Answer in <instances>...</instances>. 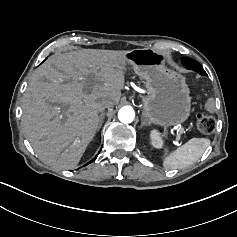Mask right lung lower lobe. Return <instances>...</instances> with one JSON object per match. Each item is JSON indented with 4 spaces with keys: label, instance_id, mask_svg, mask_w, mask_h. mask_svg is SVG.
Masks as SVG:
<instances>
[{
    "label": "right lung lower lobe",
    "instance_id": "98d812e1",
    "mask_svg": "<svg viewBox=\"0 0 237 237\" xmlns=\"http://www.w3.org/2000/svg\"><path fill=\"white\" fill-rule=\"evenodd\" d=\"M96 157H97V156H96ZM96 157H95L93 160H91V162L94 161V160L96 159Z\"/></svg>",
    "mask_w": 237,
    "mask_h": 237
}]
</instances>
